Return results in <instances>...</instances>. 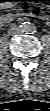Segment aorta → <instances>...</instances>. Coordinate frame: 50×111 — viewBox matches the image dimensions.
<instances>
[{
	"instance_id": "aorta-1",
	"label": "aorta",
	"mask_w": 50,
	"mask_h": 111,
	"mask_svg": "<svg viewBox=\"0 0 50 111\" xmlns=\"http://www.w3.org/2000/svg\"><path fill=\"white\" fill-rule=\"evenodd\" d=\"M35 30H36V27L31 23H24L22 25V31L25 33H31V32H34Z\"/></svg>"
}]
</instances>
